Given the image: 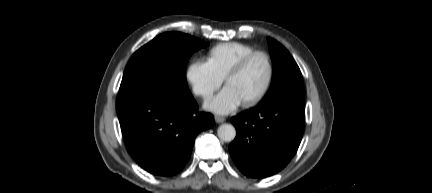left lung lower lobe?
I'll return each mask as SVG.
<instances>
[{
  "label": "left lung lower lobe",
  "mask_w": 432,
  "mask_h": 193,
  "mask_svg": "<svg viewBox=\"0 0 432 193\" xmlns=\"http://www.w3.org/2000/svg\"><path fill=\"white\" fill-rule=\"evenodd\" d=\"M304 120L303 106L279 102L231 118L237 135L229 151L238 169L252 178L283 169L299 147Z\"/></svg>",
  "instance_id": "obj_1"
}]
</instances>
